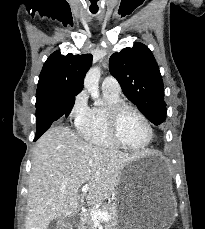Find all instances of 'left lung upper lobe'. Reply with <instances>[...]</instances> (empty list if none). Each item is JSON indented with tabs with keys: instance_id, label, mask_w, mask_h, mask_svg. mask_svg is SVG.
Segmentation results:
<instances>
[{
	"instance_id": "5c2ea615",
	"label": "left lung upper lobe",
	"mask_w": 205,
	"mask_h": 229,
	"mask_svg": "<svg viewBox=\"0 0 205 229\" xmlns=\"http://www.w3.org/2000/svg\"><path fill=\"white\" fill-rule=\"evenodd\" d=\"M111 74L118 80L126 97L155 125L164 122L166 104L159 67L150 49L134 43L109 60Z\"/></svg>"
}]
</instances>
